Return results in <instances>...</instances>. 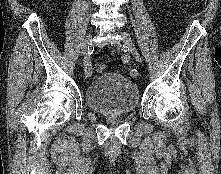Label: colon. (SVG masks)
Masks as SVG:
<instances>
[{
  "label": "colon",
  "mask_w": 221,
  "mask_h": 174,
  "mask_svg": "<svg viewBox=\"0 0 221 174\" xmlns=\"http://www.w3.org/2000/svg\"><path fill=\"white\" fill-rule=\"evenodd\" d=\"M106 70V66L101 64L97 67V72L103 73Z\"/></svg>",
  "instance_id": "colon-1"
}]
</instances>
